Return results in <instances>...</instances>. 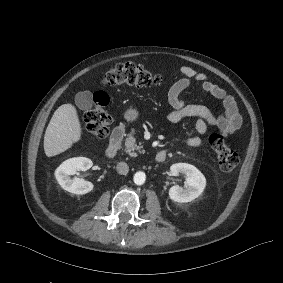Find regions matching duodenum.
Instances as JSON below:
<instances>
[{
  "mask_svg": "<svg viewBox=\"0 0 283 283\" xmlns=\"http://www.w3.org/2000/svg\"><path fill=\"white\" fill-rule=\"evenodd\" d=\"M124 132L123 126H117L114 128L110 137L108 148L106 150V156L108 159H113L118 153L122 144ZM166 154V150L157 151L155 154V161L158 163L163 162L166 159Z\"/></svg>",
  "mask_w": 283,
  "mask_h": 283,
  "instance_id": "1",
  "label": "duodenum"
}]
</instances>
